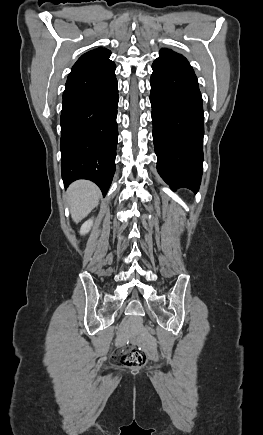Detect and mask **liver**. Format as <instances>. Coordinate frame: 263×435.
I'll return each instance as SVG.
<instances>
[{
  "label": "liver",
  "instance_id": "liver-1",
  "mask_svg": "<svg viewBox=\"0 0 263 435\" xmlns=\"http://www.w3.org/2000/svg\"><path fill=\"white\" fill-rule=\"evenodd\" d=\"M71 217L78 223L85 218L98 204L99 188L87 180L73 182L67 190Z\"/></svg>",
  "mask_w": 263,
  "mask_h": 435
}]
</instances>
